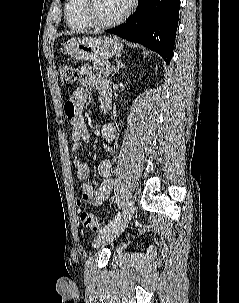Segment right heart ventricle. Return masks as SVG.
<instances>
[{
	"label": "right heart ventricle",
	"instance_id": "obj_1",
	"mask_svg": "<svg viewBox=\"0 0 239 303\" xmlns=\"http://www.w3.org/2000/svg\"><path fill=\"white\" fill-rule=\"evenodd\" d=\"M82 0H65L64 16L68 26L76 31L89 29L91 26L86 23L80 12Z\"/></svg>",
	"mask_w": 239,
	"mask_h": 303
}]
</instances>
